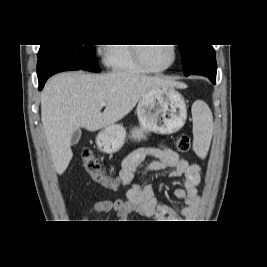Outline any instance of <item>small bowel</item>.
<instances>
[{
  "label": "small bowel",
  "mask_w": 267,
  "mask_h": 267,
  "mask_svg": "<svg viewBox=\"0 0 267 267\" xmlns=\"http://www.w3.org/2000/svg\"><path fill=\"white\" fill-rule=\"evenodd\" d=\"M147 157H154L155 160L145 166L141 178L152 172L169 169L170 178L181 180L182 186L176 188L173 193L177 200L183 202L177 211L156 199L153 184L141 185L139 180L135 179L136 169ZM201 177L202 171L199 165L190 164L167 145L138 148L126 156L118 174L117 182L122 183L125 199L96 201L82 218L86 220L90 212H114L120 221L125 222L132 212H136L158 221L192 220L199 209L200 198L197 187Z\"/></svg>",
  "instance_id": "obj_1"
}]
</instances>
